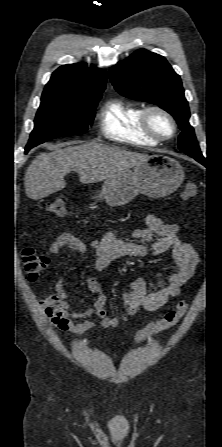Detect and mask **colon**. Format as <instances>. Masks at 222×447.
<instances>
[{"mask_svg":"<svg viewBox=\"0 0 222 447\" xmlns=\"http://www.w3.org/2000/svg\"><path fill=\"white\" fill-rule=\"evenodd\" d=\"M198 195V187L194 181H189L183 191L182 197L185 200L192 199ZM44 210L47 214L56 217L64 218L67 216V198L64 196L56 197L55 199L46 203ZM22 264L26 273V278L30 282L37 281L45 272L49 258L44 252L35 250L32 247H25L22 250ZM188 305L182 301L178 305L168 311L164 317L155 323H151L144 327L136 335V341L143 342L153 335L163 333L174 326L183 318L187 311Z\"/></svg>","mask_w":222,"mask_h":447,"instance_id":"colon-1","label":"colon"}]
</instances>
